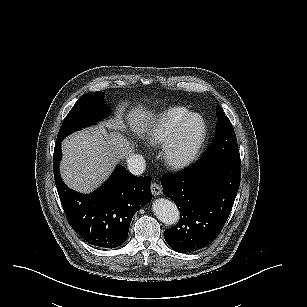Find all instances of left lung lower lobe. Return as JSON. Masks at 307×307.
<instances>
[{"label":"left lung lower lobe","mask_w":307,"mask_h":307,"mask_svg":"<svg viewBox=\"0 0 307 307\" xmlns=\"http://www.w3.org/2000/svg\"><path fill=\"white\" fill-rule=\"evenodd\" d=\"M240 164L199 160L180 172L162 176L163 193L180 211L179 222L164 232L173 250L180 253L197 251L216 239L240 185Z\"/></svg>","instance_id":"1"}]
</instances>
